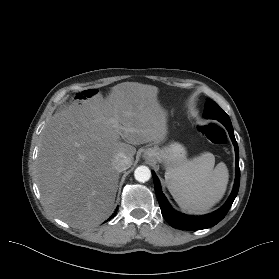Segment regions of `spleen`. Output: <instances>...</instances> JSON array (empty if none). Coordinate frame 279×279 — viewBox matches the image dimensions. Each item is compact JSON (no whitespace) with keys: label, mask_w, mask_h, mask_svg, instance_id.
Instances as JSON below:
<instances>
[{"label":"spleen","mask_w":279,"mask_h":279,"mask_svg":"<svg viewBox=\"0 0 279 279\" xmlns=\"http://www.w3.org/2000/svg\"><path fill=\"white\" fill-rule=\"evenodd\" d=\"M214 165V155L205 152L167 169V188L182 210L202 214L222 199L229 180L228 169L223 162Z\"/></svg>","instance_id":"obj_1"}]
</instances>
